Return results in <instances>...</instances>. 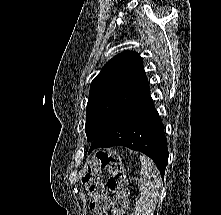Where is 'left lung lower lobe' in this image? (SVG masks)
<instances>
[{"label": "left lung lower lobe", "mask_w": 221, "mask_h": 215, "mask_svg": "<svg viewBox=\"0 0 221 215\" xmlns=\"http://www.w3.org/2000/svg\"><path fill=\"white\" fill-rule=\"evenodd\" d=\"M112 146H126L146 154L164 176L168 161L166 137L149 92L92 141L89 153L100 147Z\"/></svg>", "instance_id": "obj_1"}]
</instances>
